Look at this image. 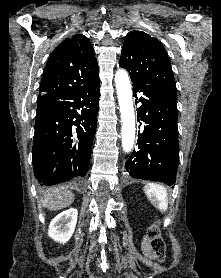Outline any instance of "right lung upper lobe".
Wrapping results in <instances>:
<instances>
[{"label":"right lung upper lobe","mask_w":221,"mask_h":278,"mask_svg":"<svg viewBox=\"0 0 221 278\" xmlns=\"http://www.w3.org/2000/svg\"><path fill=\"white\" fill-rule=\"evenodd\" d=\"M98 76V64L93 47L82 34H76L59 44L48 58L40 84V96L84 86Z\"/></svg>","instance_id":"obj_1"}]
</instances>
